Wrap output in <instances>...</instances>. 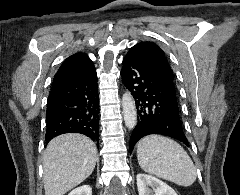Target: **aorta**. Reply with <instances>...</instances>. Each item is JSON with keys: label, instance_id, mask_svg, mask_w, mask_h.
I'll return each mask as SVG.
<instances>
[{"label": "aorta", "instance_id": "obj_1", "mask_svg": "<svg viewBox=\"0 0 240 195\" xmlns=\"http://www.w3.org/2000/svg\"><path fill=\"white\" fill-rule=\"evenodd\" d=\"M122 109L126 127L133 129L137 123V109L130 92H125L122 96Z\"/></svg>", "mask_w": 240, "mask_h": 195}]
</instances>
